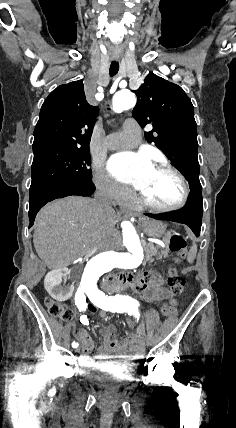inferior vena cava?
I'll list each match as a JSON object with an SVG mask.
<instances>
[{
	"label": "inferior vena cava",
	"instance_id": "1",
	"mask_svg": "<svg viewBox=\"0 0 236 428\" xmlns=\"http://www.w3.org/2000/svg\"><path fill=\"white\" fill-rule=\"evenodd\" d=\"M97 190L96 194H94V198H96L97 206L98 208H101V210H112V196L111 192H114V184L110 182L109 178H102L101 182H98L97 184ZM94 247H99V242H94ZM103 249H98V251H95V254H98V252Z\"/></svg>",
	"mask_w": 236,
	"mask_h": 428
}]
</instances>
